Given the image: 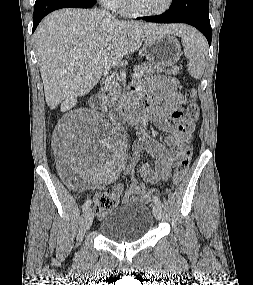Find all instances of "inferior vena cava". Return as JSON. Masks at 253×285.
<instances>
[{"label": "inferior vena cava", "instance_id": "602c4592", "mask_svg": "<svg viewBox=\"0 0 253 285\" xmlns=\"http://www.w3.org/2000/svg\"><path fill=\"white\" fill-rule=\"evenodd\" d=\"M101 12H103L109 19L111 20H115V17L112 16L108 11H106L105 9L100 10Z\"/></svg>", "mask_w": 253, "mask_h": 285}]
</instances>
